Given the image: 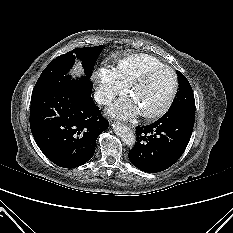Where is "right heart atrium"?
Listing matches in <instances>:
<instances>
[{
    "label": "right heart atrium",
    "instance_id": "right-heart-atrium-1",
    "mask_svg": "<svg viewBox=\"0 0 233 233\" xmlns=\"http://www.w3.org/2000/svg\"><path fill=\"white\" fill-rule=\"evenodd\" d=\"M97 99L101 104L111 102L118 94L125 92L127 85L120 78L117 70L110 66H102L96 73Z\"/></svg>",
    "mask_w": 233,
    "mask_h": 233
}]
</instances>
